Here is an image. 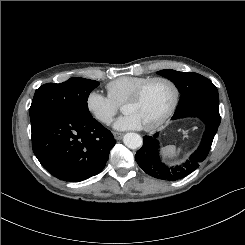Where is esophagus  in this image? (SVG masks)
Returning a JSON list of instances; mask_svg holds the SVG:
<instances>
[{
  "instance_id": "34e87169",
  "label": "esophagus",
  "mask_w": 245,
  "mask_h": 245,
  "mask_svg": "<svg viewBox=\"0 0 245 245\" xmlns=\"http://www.w3.org/2000/svg\"><path fill=\"white\" fill-rule=\"evenodd\" d=\"M113 135L116 140H120L123 136V134L120 132H113Z\"/></svg>"
}]
</instances>
